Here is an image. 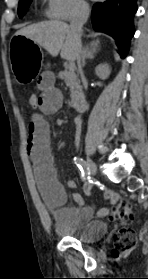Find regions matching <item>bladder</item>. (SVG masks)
I'll use <instances>...</instances> for the list:
<instances>
[{
  "label": "bladder",
  "mask_w": 148,
  "mask_h": 279,
  "mask_svg": "<svg viewBox=\"0 0 148 279\" xmlns=\"http://www.w3.org/2000/svg\"><path fill=\"white\" fill-rule=\"evenodd\" d=\"M55 229L64 237L72 238L84 243L98 241L107 233V225L105 222L99 220L72 226L64 224L59 220L55 224Z\"/></svg>",
  "instance_id": "31cf9c89"
}]
</instances>
